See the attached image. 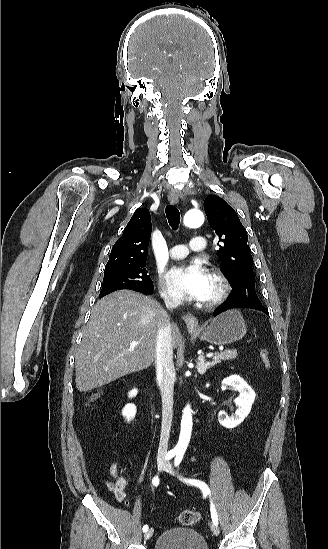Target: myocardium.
Wrapping results in <instances>:
<instances>
[{
	"label": "myocardium",
	"instance_id": "1",
	"mask_svg": "<svg viewBox=\"0 0 328 549\" xmlns=\"http://www.w3.org/2000/svg\"><path fill=\"white\" fill-rule=\"evenodd\" d=\"M204 264L211 267V268H214V269L219 268V266L217 264H215L213 262H210V261L205 262ZM211 277L217 283L218 290L212 298H210L208 300H203L202 303H203L204 307L207 308V309H214V308L219 307L226 300V298L228 297L229 292H230V284H229L227 278L222 273H220L218 271H214L212 273Z\"/></svg>",
	"mask_w": 328,
	"mask_h": 549
}]
</instances>
